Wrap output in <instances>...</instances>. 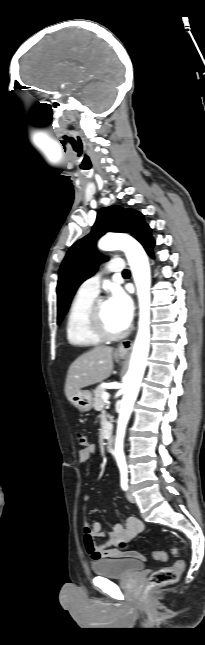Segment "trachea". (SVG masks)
Returning <instances> with one entry per match:
<instances>
[{
	"mask_svg": "<svg viewBox=\"0 0 205 645\" xmlns=\"http://www.w3.org/2000/svg\"><path fill=\"white\" fill-rule=\"evenodd\" d=\"M129 274H130V271H129L128 269H125V270L123 271V275H129Z\"/></svg>",
	"mask_w": 205,
	"mask_h": 645,
	"instance_id": "obj_1",
	"label": "trachea"
}]
</instances>
